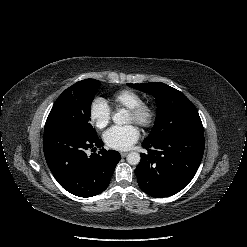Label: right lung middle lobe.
<instances>
[{"label":"right lung middle lobe","instance_id":"dd1d6c3e","mask_svg":"<svg viewBox=\"0 0 247 247\" xmlns=\"http://www.w3.org/2000/svg\"><path fill=\"white\" fill-rule=\"evenodd\" d=\"M100 87L95 79H85L67 88L55 101L44 131L68 128L78 130L88 136H96L90 121L91 102Z\"/></svg>","mask_w":247,"mask_h":247}]
</instances>
